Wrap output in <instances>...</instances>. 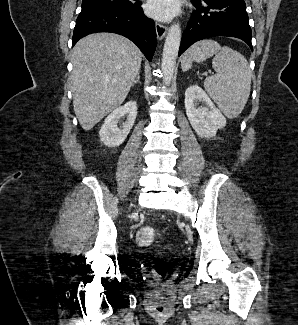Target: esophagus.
<instances>
[{"label": "esophagus", "mask_w": 298, "mask_h": 325, "mask_svg": "<svg viewBox=\"0 0 298 325\" xmlns=\"http://www.w3.org/2000/svg\"><path fill=\"white\" fill-rule=\"evenodd\" d=\"M155 29H156V34L157 37L161 40L164 38V36L166 35L167 32V27L165 25H162L159 22H155Z\"/></svg>", "instance_id": "obj_1"}]
</instances>
